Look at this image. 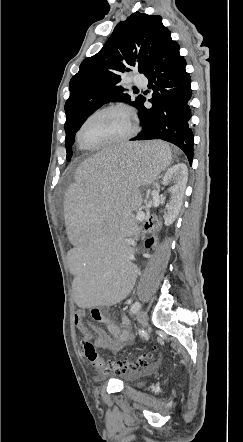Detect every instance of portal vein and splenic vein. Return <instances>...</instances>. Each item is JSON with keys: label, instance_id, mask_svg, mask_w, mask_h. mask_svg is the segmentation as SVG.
<instances>
[{"label": "portal vein and splenic vein", "instance_id": "1", "mask_svg": "<svg viewBox=\"0 0 243 442\" xmlns=\"http://www.w3.org/2000/svg\"><path fill=\"white\" fill-rule=\"evenodd\" d=\"M151 193H152L153 196H156V195H157V192H156V191H152Z\"/></svg>", "mask_w": 243, "mask_h": 442}]
</instances>
